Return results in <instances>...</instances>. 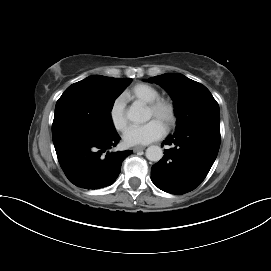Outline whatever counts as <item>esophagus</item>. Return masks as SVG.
I'll return each mask as SVG.
<instances>
[{
    "instance_id": "1",
    "label": "esophagus",
    "mask_w": 271,
    "mask_h": 271,
    "mask_svg": "<svg viewBox=\"0 0 271 271\" xmlns=\"http://www.w3.org/2000/svg\"><path fill=\"white\" fill-rule=\"evenodd\" d=\"M145 149V146H135L134 148H133V151L134 152H139V151H142V150H144Z\"/></svg>"
}]
</instances>
